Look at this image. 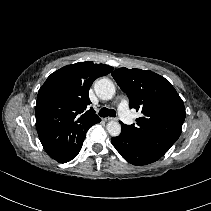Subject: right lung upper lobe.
<instances>
[{"label":"right lung upper lobe","instance_id":"right-lung-upper-lobe-1","mask_svg":"<svg viewBox=\"0 0 211 211\" xmlns=\"http://www.w3.org/2000/svg\"><path fill=\"white\" fill-rule=\"evenodd\" d=\"M113 67L78 62L52 73L39 89L36 102V128L41 144L52 158L63 156L76 143L79 133L100 122L88 107L89 88Z\"/></svg>","mask_w":211,"mask_h":211}]
</instances>
